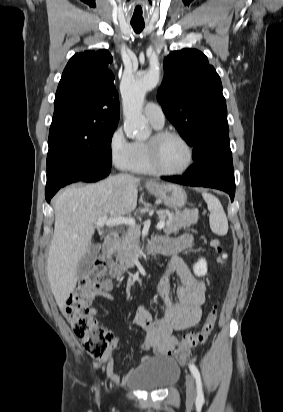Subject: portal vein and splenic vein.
Masks as SVG:
<instances>
[{
	"mask_svg": "<svg viewBox=\"0 0 283 412\" xmlns=\"http://www.w3.org/2000/svg\"><path fill=\"white\" fill-rule=\"evenodd\" d=\"M128 225L131 227L136 226L135 219L130 217H116V218H108L107 215L100 217L96 221L97 227H114L117 225ZM165 227V219H161L157 224V229L161 230Z\"/></svg>",
	"mask_w": 283,
	"mask_h": 412,
	"instance_id": "1",
	"label": "portal vein and splenic vein"
}]
</instances>
